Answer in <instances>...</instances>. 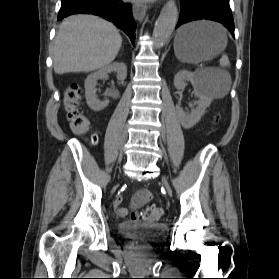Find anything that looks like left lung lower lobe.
I'll use <instances>...</instances> for the list:
<instances>
[{"label":"left lung lower lobe","instance_id":"0a47b994","mask_svg":"<svg viewBox=\"0 0 279 279\" xmlns=\"http://www.w3.org/2000/svg\"><path fill=\"white\" fill-rule=\"evenodd\" d=\"M181 10L176 26L200 19L213 20L225 25L234 37V22L229 0H180Z\"/></svg>","mask_w":279,"mask_h":279}]
</instances>
